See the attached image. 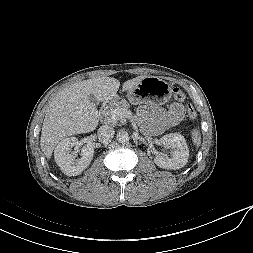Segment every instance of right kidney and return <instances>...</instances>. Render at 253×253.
Returning a JSON list of instances; mask_svg holds the SVG:
<instances>
[{
  "label": "right kidney",
  "mask_w": 253,
  "mask_h": 253,
  "mask_svg": "<svg viewBox=\"0 0 253 253\" xmlns=\"http://www.w3.org/2000/svg\"><path fill=\"white\" fill-rule=\"evenodd\" d=\"M78 144L76 137H68L58 143L54 150V158L62 172L67 176H76L82 173L91 163L94 147L85 145L81 150V158L76 159V154L71 153V148Z\"/></svg>",
  "instance_id": "ca27d5eb"
}]
</instances>
